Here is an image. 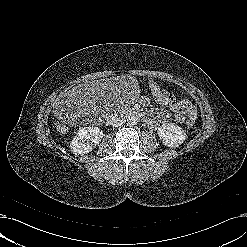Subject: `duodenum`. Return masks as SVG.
Returning a JSON list of instances; mask_svg holds the SVG:
<instances>
[{
	"instance_id": "1",
	"label": "duodenum",
	"mask_w": 247,
	"mask_h": 247,
	"mask_svg": "<svg viewBox=\"0 0 247 247\" xmlns=\"http://www.w3.org/2000/svg\"><path fill=\"white\" fill-rule=\"evenodd\" d=\"M125 115L127 116H136V117H140L142 118L146 123L150 121L149 116H147L146 114L142 113L140 110L138 109H128L127 111L124 112ZM120 114H115V115H111L109 118L110 119H116L119 118Z\"/></svg>"
}]
</instances>
